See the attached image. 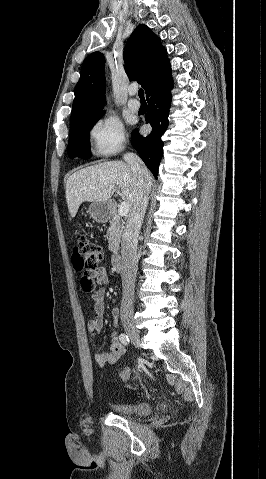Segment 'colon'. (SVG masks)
I'll return each instance as SVG.
<instances>
[{"mask_svg":"<svg viewBox=\"0 0 266 479\" xmlns=\"http://www.w3.org/2000/svg\"><path fill=\"white\" fill-rule=\"evenodd\" d=\"M103 258V249L100 245L89 240L85 235L77 234V244L72 254V264L74 269L81 274V287L84 291H91L94 282L90 273L94 271ZM132 370L127 368L121 372L123 381H127Z\"/></svg>","mask_w":266,"mask_h":479,"instance_id":"1","label":"colon"}]
</instances>
